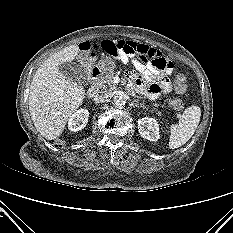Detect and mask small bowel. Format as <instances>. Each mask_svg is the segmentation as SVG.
Wrapping results in <instances>:
<instances>
[{"label":"small bowel","mask_w":233,"mask_h":233,"mask_svg":"<svg viewBox=\"0 0 233 233\" xmlns=\"http://www.w3.org/2000/svg\"><path fill=\"white\" fill-rule=\"evenodd\" d=\"M79 50L84 61L92 60L102 50L124 64L131 63L137 72L130 71L127 77L139 92L152 100L170 91L168 76L173 70L172 62L155 48L133 41L103 40L81 42Z\"/></svg>","instance_id":"c3829d8e"}]
</instances>
